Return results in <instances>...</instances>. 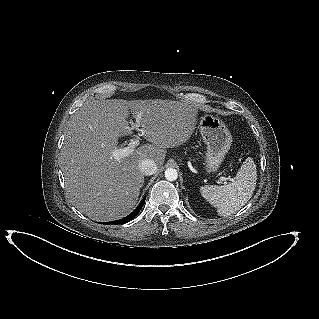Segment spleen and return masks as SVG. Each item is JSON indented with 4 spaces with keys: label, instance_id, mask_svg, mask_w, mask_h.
Here are the masks:
<instances>
[{
    "label": "spleen",
    "instance_id": "3e777b00",
    "mask_svg": "<svg viewBox=\"0 0 319 319\" xmlns=\"http://www.w3.org/2000/svg\"><path fill=\"white\" fill-rule=\"evenodd\" d=\"M256 165L248 157L238 170L232 183L217 186L205 185L201 195L214 207L220 216H229L241 209L252 197L256 187Z\"/></svg>",
    "mask_w": 319,
    "mask_h": 319
}]
</instances>
